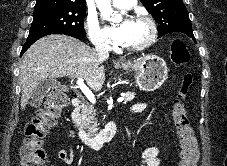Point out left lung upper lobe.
<instances>
[{"mask_svg": "<svg viewBox=\"0 0 227 166\" xmlns=\"http://www.w3.org/2000/svg\"><path fill=\"white\" fill-rule=\"evenodd\" d=\"M141 2L159 24L158 37L172 32L193 34L188 12L182 0H141Z\"/></svg>", "mask_w": 227, "mask_h": 166, "instance_id": "1", "label": "left lung upper lobe"}]
</instances>
